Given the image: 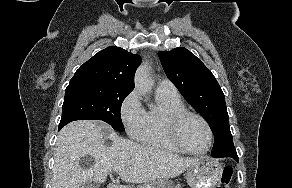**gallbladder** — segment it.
Wrapping results in <instances>:
<instances>
[{
    "label": "gallbladder",
    "mask_w": 292,
    "mask_h": 188,
    "mask_svg": "<svg viewBox=\"0 0 292 188\" xmlns=\"http://www.w3.org/2000/svg\"><path fill=\"white\" fill-rule=\"evenodd\" d=\"M101 185L98 184L97 182H89V181H86L84 182V184H82L80 186V188H99Z\"/></svg>",
    "instance_id": "1"
}]
</instances>
